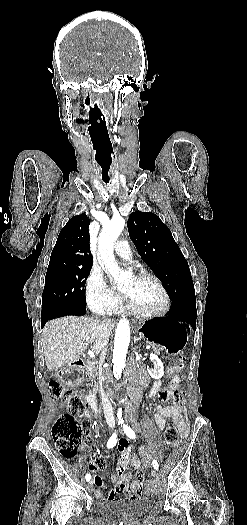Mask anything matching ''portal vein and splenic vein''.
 I'll return each instance as SVG.
<instances>
[{"label":"portal vein and splenic vein","mask_w":247,"mask_h":525,"mask_svg":"<svg viewBox=\"0 0 247 525\" xmlns=\"http://www.w3.org/2000/svg\"><path fill=\"white\" fill-rule=\"evenodd\" d=\"M149 348H151V345H146V350H149ZM88 355L91 358H96V355H94V352L92 351H88Z\"/></svg>","instance_id":"portal-vein-and-splenic-vein-1"}]
</instances>
